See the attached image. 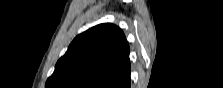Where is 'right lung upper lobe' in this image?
Returning <instances> with one entry per match:
<instances>
[{"label":"right lung upper lobe","instance_id":"obj_1","mask_svg":"<svg viewBox=\"0 0 223 88\" xmlns=\"http://www.w3.org/2000/svg\"><path fill=\"white\" fill-rule=\"evenodd\" d=\"M46 88H130L129 45L109 23L78 35L61 57Z\"/></svg>","mask_w":223,"mask_h":88}]
</instances>
